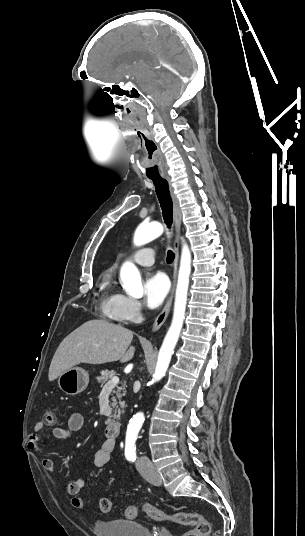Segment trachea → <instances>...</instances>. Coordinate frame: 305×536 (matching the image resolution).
<instances>
[{
    "label": "trachea",
    "instance_id": "3493384b",
    "mask_svg": "<svg viewBox=\"0 0 305 536\" xmlns=\"http://www.w3.org/2000/svg\"><path fill=\"white\" fill-rule=\"evenodd\" d=\"M150 180L153 181L154 186L156 188V194L159 199L160 206L162 208L164 222L167 227L170 228L173 222V204L169 192L168 182L167 180H165V178L162 177H151ZM174 259L175 254L173 253V251L169 250L167 252L166 258L167 263H172Z\"/></svg>",
    "mask_w": 305,
    "mask_h": 536
}]
</instances>
